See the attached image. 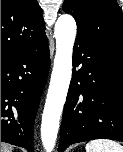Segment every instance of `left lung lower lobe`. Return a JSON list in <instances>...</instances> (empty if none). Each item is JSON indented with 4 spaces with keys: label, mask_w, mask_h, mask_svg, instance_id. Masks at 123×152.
Returning <instances> with one entry per match:
<instances>
[{
    "label": "left lung lower lobe",
    "mask_w": 123,
    "mask_h": 152,
    "mask_svg": "<svg viewBox=\"0 0 123 152\" xmlns=\"http://www.w3.org/2000/svg\"><path fill=\"white\" fill-rule=\"evenodd\" d=\"M59 152L94 139L123 142V52L77 32Z\"/></svg>",
    "instance_id": "0a47b994"
}]
</instances>
